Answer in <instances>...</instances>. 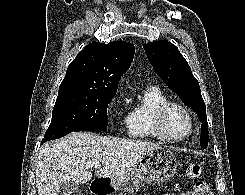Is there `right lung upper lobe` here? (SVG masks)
Segmentation results:
<instances>
[{"label": "right lung upper lobe", "instance_id": "right-lung-upper-lobe-1", "mask_svg": "<svg viewBox=\"0 0 245 195\" xmlns=\"http://www.w3.org/2000/svg\"><path fill=\"white\" fill-rule=\"evenodd\" d=\"M134 53V45L124 41L88 44L69 64L58 93L93 90L115 94Z\"/></svg>", "mask_w": 245, "mask_h": 195}]
</instances>
